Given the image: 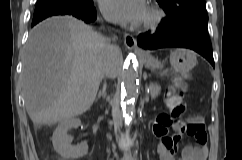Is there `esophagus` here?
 I'll use <instances>...</instances> for the list:
<instances>
[{
	"mask_svg": "<svg viewBox=\"0 0 242 160\" xmlns=\"http://www.w3.org/2000/svg\"><path fill=\"white\" fill-rule=\"evenodd\" d=\"M124 44L125 46L135 52L142 53L143 51L137 46L136 39L131 35L126 33L124 35Z\"/></svg>",
	"mask_w": 242,
	"mask_h": 160,
	"instance_id": "obj_1",
	"label": "esophagus"
}]
</instances>
